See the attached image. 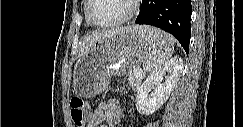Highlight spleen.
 <instances>
[{
	"instance_id": "spleen-1",
	"label": "spleen",
	"mask_w": 243,
	"mask_h": 127,
	"mask_svg": "<svg viewBox=\"0 0 243 127\" xmlns=\"http://www.w3.org/2000/svg\"><path fill=\"white\" fill-rule=\"evenodd\" d=\"M141 33L149 43V51L144 58V69L154 72L164 66L174 49L173 38L157 28L143 26Z\"/></svg>"
}]
</instances>
